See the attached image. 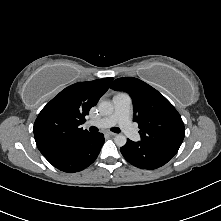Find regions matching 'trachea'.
I'll list each match as a JSON object with an SVG mask.
<instances>
[{
  "mask_svg": "<svg viewBox=\"0 0 221 221\" xmlns=\"http://www.w3.org/2000/svg\"><path fill=\"white\" fill-rule=\"evenodd\" d=\"M89 130H90V132H97V131H98V128H97V127H94V126H91V127L89 128ZM111 131H112V132H115V133H120V132H121V130H120L118 127H113V128H111Z\"/></svg>",
  "mask_w": 221,
  "mask_h": 221,
  "instance_id": "1",
  "label": "trachea"
}]
</instances>
